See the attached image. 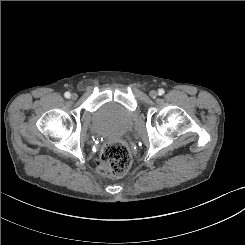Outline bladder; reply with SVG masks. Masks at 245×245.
I'll return each mask as SVG.
<instances>
[{"instance_id":"1","label":"bladder","mask_w":245,"mask_h":245,"mask_svg":"<svg viewBox=\"0 0 245 245\" xmlns=\"http://www.w3.org/2000/svg\"><path fill=\"white\" fill-rule=\"evenodd\" d=\"M134 115L128 109L108 103L101 106L94 114L91 130L97 135H123L132 130Z\"/></svg>"}]
</instances>
